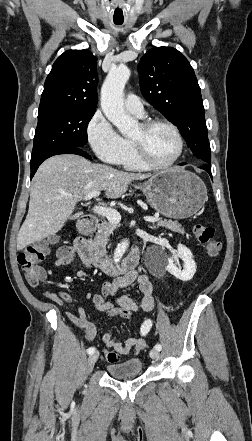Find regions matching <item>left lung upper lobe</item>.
<instances>
[{
  "instance_id": "obj_1",
  "label": "left lung upper lobe",
  "mask_w": 252,
  "mask_h": 441,
  "mask_svg": "<svg viewBox=\"0 0 252 441\" xmlns=\"http://www.w3.org/2000/svg\"><path fill=\"white\" fill-rule=\"evenodd\" d=\"M145 99L174 123L193 154L211 163L200 87L188 60L172 47H154L138 64Z\"/></svg>"
}]
</instances>
